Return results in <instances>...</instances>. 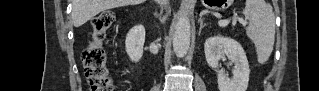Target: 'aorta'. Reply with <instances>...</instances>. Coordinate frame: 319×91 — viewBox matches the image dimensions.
<instances>
[{"mask_svg":"<svg viewBox=\"0 0 319 91\" xmlns=\"http://www.w3.org/2000/svg\"><path fill=\"white\" fill-rule=\"evenodd\" d=\"M191 25L187 15H180L175 25L173 49L177 57H184L190 46Z\"/></svg>","mask_w":319,"mask_h":91,"instance_id":"aorta-1","label":"aorta"}]
</instances>
